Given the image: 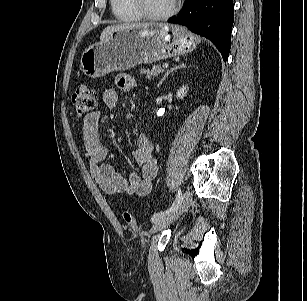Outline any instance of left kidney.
I'll return each instance as SVG.
<instances>
[{
  "label": "left kidney",
  "mask_w": 307,
  "mask_h": 301,
  "mask_svg": "<svg viewBox=\"0 0 307 301\" xmlns=\"http://www.w3.org/2000/svg\"><path fill=\"white\" fill-rule=\"evenodd\" d=\"M187 94V86H182L181 88H179V90L177 91V98L178 99H183L185 97V95Z\"/></svg>",
  "instance_id": "left-kidney-1"
}]
</instances>
